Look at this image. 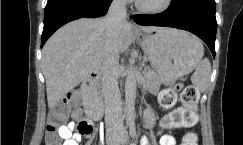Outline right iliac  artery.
<instances>
[{"instance_id":"1","label":"right iliac artery","mask_w":243,"mask_h":145,"mask_svg":"<svg viewBox=\"0 0 243 145\" xmlns=\"http://www.w3.org/2000/svg\"><path fill=\"white\" fill-rule=\"evenodd\" d=\"M126 130V129H125ZM121 144V140H118L117 143L115 145H120Z\"/></svg>"}]
</instances>
